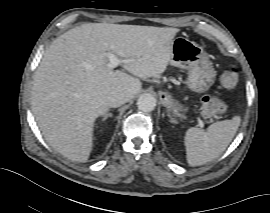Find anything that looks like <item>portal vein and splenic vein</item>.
Listing matches in <instances>:
<instances>
[{
  "label": "portal vein and splenic vein",
  "mask_w": 270,
  "mask_h": 213,
  "mask_svg": "<svg viewBox=\"0 0 270 213\" xmlns=\"http://www.w3.org/2000/svg\"><path fill=\"white\" fill-rule=\"evenodd\" d=\"M109 63L107 64V67L110 69L116 68L120 63H122V60L118 59L116 57V55H114L113 53L109 52L107 54ZM199 127L203 130L204 129V123L199 120Z\"/></svg>",
  "instance_id": "18ae733b"
}]
</instances>
